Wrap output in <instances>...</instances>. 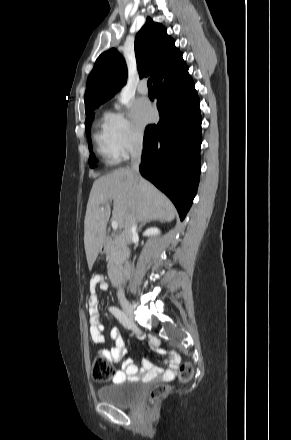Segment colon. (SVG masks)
<instances>
[{
  "mask_svg": "<svg viewBox=\"0 0 291 440\" xmlns=\"http://www.w3.org/2000/svg\"><path fill=\"white\" fill-rule=\"evenodd\" d=\"M193 373V366L190 362H184L179 370L180 380L188 381ZM92 377L95 381H107L112 377L110 365L106 358L100 357L96 359L92 365ZM170 387L167 384H156L149 395L151 404L157 402L169 393Z\"/></svg>",
  "mask_w": 291,
  "mask_h": 440,
  "instance_id": "1",
  "label": "colon"
}]
</instances>
